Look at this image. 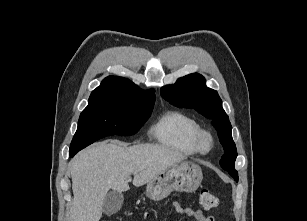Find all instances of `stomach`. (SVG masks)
I'll use <instances>...</instances> for the list:
<instances>
[{"instance_id": "0dacf381", "label": "stomach", "mask_w": 307, "mask_h": 221, "mask_svg": "<svg viewBox=\"0 0 307 221\" xmlns=\"http://www.w3.org/2000/svg\"><path fill=\"white\" fill-rule=\"evenodd\" d=\"M202 179L200 166L193 162L181 161L149 181L146 186V196L158 201L166 198L173 190L193 192L200 186Z\"/></svg>"}]
</instances>
